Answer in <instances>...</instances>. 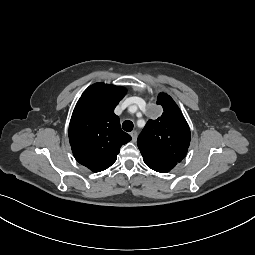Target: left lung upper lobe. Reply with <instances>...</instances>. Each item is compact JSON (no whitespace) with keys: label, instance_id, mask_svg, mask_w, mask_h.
I'll return each instance as SVG.
<instances>
[{"label":"left lung upper lobe","instance_id":"1","mask_svg":"<svg viewBox=\"0 0 255 255\" xmlns=\"http://www.w3.org/2000/svg\"><path fill=\"white\" fill-rule=\"evenodd\" d=\"M157 104L163 107V114L156 120H148L137 144L145 164L166 173L186 156L191 134L182 112L169 95L160 93Z\"/></svg>","mask_w":255,"mask_h":255}]
</instances>
